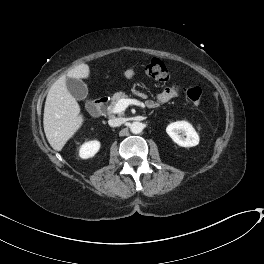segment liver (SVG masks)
I'll list each match as a JSON object with an SVG mask.
<instances>
[{
	"mask_svg": "<svg viewBox=\"0 0 264 264\" xmlns=\"http://www.w3.org/2000/svg\"><path fill=\"white\" fill-rule=\"evenodd\" d=\"M90 68L82 63L58 78L49 89L44 107L43 126L50 146L61 151L67 141L81 128L84 117L80 106L67 88L66 79H87Z\"/></svg>",
	"mask_w": 264,
	"mask_h": 264,
	"instance_id": "1",
	"label": "liver"
}]
</instances>
